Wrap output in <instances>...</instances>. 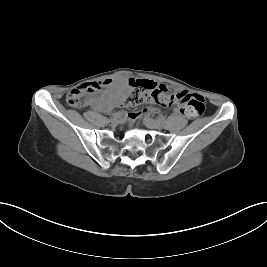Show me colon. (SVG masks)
<instances>
[{"label":"colon","instance_id":"1","mask_svg":"<svg viewBox=\"0 0 267 267\" xmlns=\"http://www.w3.org/2000/svg\"><path fill=\"white\" fill-rule=\"evenodd\" d=\"M130 90L120 101L126 106H135L142 102H150L162 106H170L174 96L168 92L163 85H157L147 79L130 80ZM86 85L71 90L67 95V102L73 107H81L84 103V96L88 91ZM185 105H181L180 112L188 118H196L205 110V100L201 95L190 94L183 91L180 94Z\"/></svg>","mask_w":267,"mask_h":267}]
</instances>
